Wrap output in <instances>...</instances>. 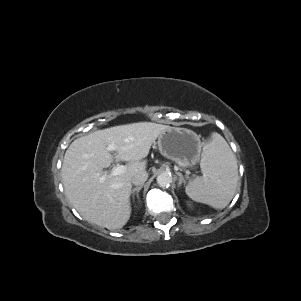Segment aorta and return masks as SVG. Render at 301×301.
Segmentation results:
<instances>
[{
  "label": "aorta",
  "instance_id": "762f6f07",
  "mask_svg": "<svg viewBox=\"0 0 301 301\" xmlns=\"http://www.w3.org/2000/svg\"><path fill=\"white\" fill-rule=\"evenodd\" d=\"M171 183H172V176L170 173L163 172L157 176V184L160 187H168L170 186Z\"/></svg>",
  "mask_w": 301,
  "mask_h": 301
}]
</instances>
